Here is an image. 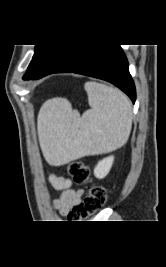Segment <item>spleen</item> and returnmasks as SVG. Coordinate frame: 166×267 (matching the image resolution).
<instances>
[{"label": "spleen", "instance_id": "1", "mask_svg": "<svg viewBox=\"0 0 166 267\" xmlns=\"http://www.w3.org/2000/svg\"><path fill=\"white\" fill-rule=\"evenodd\" d=\"M91 109L82 116L66 107L45 105L38 117V135L46 160L66 164L88 155L104 154L123 146L132 127V108L118 89L85 83Z\"/></svg>", "mask_w": 166, "mask_h": 267}]
</instances>
